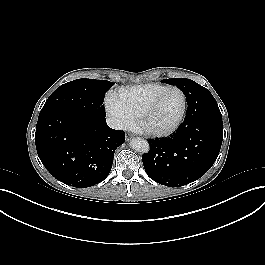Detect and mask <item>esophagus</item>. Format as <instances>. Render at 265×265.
<instances>
[{"label": "esophagus", "instance_id": "obj_1", "mask_svg": "<svg viewBox=\"0 0 265 265\" xmlns=\"http://www.w3.org/2000/svg\"><path fill=\"white\" fill-rule=\"evenodd\" d=\"M133 136H135L134 134H129V137H133Z\"/></svg>", "mask_w": 265, "mask_h": 265}]
</instances>
